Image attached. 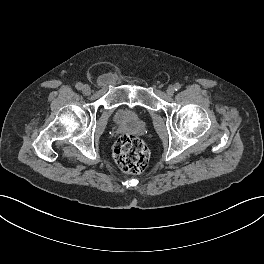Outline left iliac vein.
I'll use <instances>...</instances> for the list:
<instances>
[{"label": "left iliac vein", "mask_w": 264, "mask_h": 264, "mask_svg": "<svg viewBox=\"0 0 264 264\" xmlns=\"http://www.w3.org/2000/svg\"><path fill=\"white\" fill-rule=\"evenodd\" d=\"M174 92H175V90H174V87L173 86H169L167 88V95L168 96H173Z\"/></svg>", "instance_id": "left-iliac-vein-1"}]
</instances>
